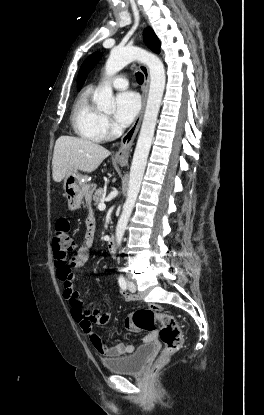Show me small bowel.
I'll return each instance as SVG.
<instances>
[{"instance_id": "obj_1", "label": "small bowel", "mask_w": 264, "mask_h": 415, "mask_svg": "<svg viewBox=\"0 0 264 415\" xmlns=\"http://www.w3.org/2000/svg\"><path fill=\"white\" fill-rule=\"evenodd\" d=\"M94 222V224H93ZM96 228V220L93 216L86 220V242L81 245L75 256L67 259H59L55 254V264L57 267V275L63 284V298L67 301L71 311V315L75 322L78 323L81 331L85 333L92 341L97 351L106 358H116L132 353L135 350L133 344H124L118 342L114 345L103 342L94 331V323L99 321L107 324L112 317L111 308L104 307L100 313H90L84 307L80 292L75 289L72 271L81 269L90 259L93 246V238ZM126 302H132L135 298L132 295L123 293ZM126 327L134 333L141 331V328L131 322L130 317L125 320ZM155 330L144 337L143 342L147 343L155 338Z\"/></svg>"}]
</instances>
